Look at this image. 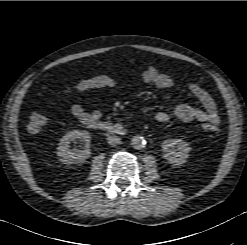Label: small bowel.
Listing matches in <instances>:
<instances>
[{"mask_svg":"<svg viewBox=\"0 0 247 245\" xmlns=\"http://www.w3.org/2000/svg\"><path fill=\"white\" fill-rule=\"evenodd\" d=\"M141 79L146 84L157 90L168 89L173 86V79L165 72L158 70L154 66L145 68L141 73ZM118 84V79L110 77L109 84L106 88L115 87ZM189 92L199 101L201 107H195L189 104L181 103L176 105L171 113L159 111L155 118L160 123L168 122L172 117L180 121H199L207 122L215 126L220 123V116L215 100L210 93L196 83L188 84ZM75 94H82L83 91H75ZM71 114L82 124L90 126L97 122L101 117L98 109L87 111L82 105L74 104L70 108Z\"/></svg>","mask_w":247,"mask_h":245,"instance_id":"c3829d8e","label":"small bowel"}]
</instances>
